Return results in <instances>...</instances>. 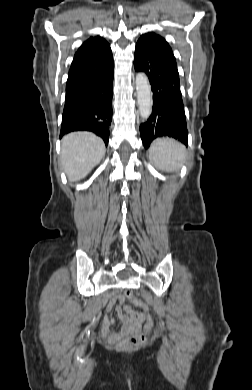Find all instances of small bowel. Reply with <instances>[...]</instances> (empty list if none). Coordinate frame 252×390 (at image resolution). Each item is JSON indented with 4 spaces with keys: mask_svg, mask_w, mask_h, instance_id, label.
Here are the masks:
<instances>
[{
    "mask_svg": "<svg viewBox=\"0 0 252 390\" xmlns=\"http://www.w3.org/2000/svg\"><path fill=\"white\" fill-rule=\"evenodd\" d=\"M124 298L120 295L114 294L110 303L107 306V310L111 311L114 304L117 305L118 319L121 322V329L117 332L112 331V326L114 320L107 316L104 320L103 330L105 333L111 334L113 337L117 338L123 335H128L131 333L138 332L144 321H148L150 318L148 315L142 312H137L133 310L130 306L124 305ZM137 305L141 306L145 311L146 308L140 302H137Z\"/></svg>",
    "mask_w": 252,
    "mask_h": 390,
    "instance_id": "1",
    "label": "small bowel"
}]
</instances>
